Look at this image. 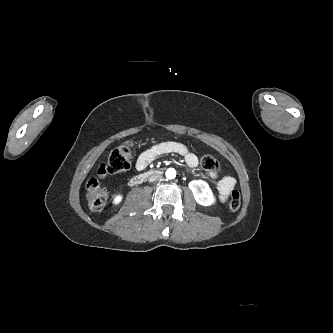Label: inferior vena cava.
<instances>
[{"label": "inferior vena cava", "mask_w": 333, "mask_h": 333, "mask_svg": "<svg viewBox=\"0 0 333 333\" xmlns=\"http://www.w3.org/2000/svg\"><path fill=\"white\" fill-rule=\"evenodd\" d=\"M161 178H162V176L160 174H155V175H152L149 177V181L154 182V181L160 180Z\"/></svg>", "instance_id": "inferior-vena-cava-1"}]
</instances>
